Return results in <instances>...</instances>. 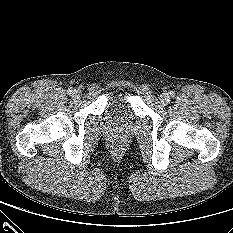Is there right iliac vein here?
I'll list each match as a JSON object with an SVG mask.
<instances>
[{"mask_svg": "<svg viewBox=\"0 0 233 233\" xmlns=\"http://www.w3.org/2000/svg\"><path fill=\"white\" fill-rule=\"evenodd\" d=\"M81 95H82L81 90H79V89L73 90L72 96H73L74 98L78 99V98L81 97Z\"/></svg>", "mask_w": 233, "mask_h": 233, "instance_id": "63e3f726", "label": "right iliac vein"}]
</instances>
